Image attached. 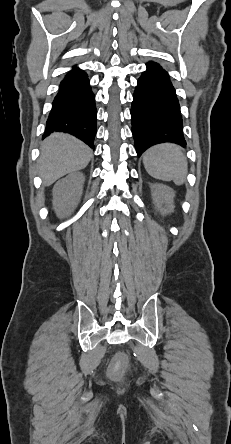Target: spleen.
Masks as SVG:
<instances>
[{
  "label": "spleen",
  "mask_w": 231,
  "mask_h": 444,
  "mask_svg": "<svg viewBox=\"0 0 231 444\" xmlns=\"http://www.w3.org/2000/svg\"><path fill=\"white\" fill-rule=\"evenodd\" d=\"M148 174L156 179L182 185L186 181L188 164L182 149L172 143L152 146L143 155Z\"/></svg>",
  "instance_id": "spleen-1"
}]
</instances>
